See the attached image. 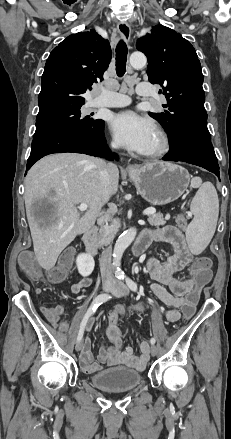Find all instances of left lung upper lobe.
Instances as JSON below:
<instances>
[{
	"mask_svg": "<svg viewBox=\"0 0 231 439\" xmlns=\"http://www.w3.org/2000/svg\"><path fill=\"white\" fill-rule=\"evenodd\" d=\"M136 47L148 58L149 81L163 87L167 99L163 107L168 111L149 115L162 124L170 143L185 137L211 141L201 65L191 43L174 30L157 25L138 39Z\"/></svg>",
	"mask_w": 231,
	"mask_h": 439,
	"instance_id": "1",
	"label": "left lung upper lobe"
}]
</instances>
